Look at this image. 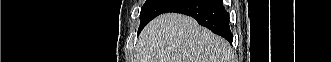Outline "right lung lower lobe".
Wrapping results in <instances>:
<instances>
[{
  "instance_id": "right-lung-lower-lobe-1",
  "label": "right lung lower lobe",
  "mask_w": 331,
  "mask_h": 62,
  "mask_svg": "<svg viewBox=\"0 0 331 62\" xmlns=\"http://www.w3.org/2000/svg\"><path fill=\"white\" fill-rule=\"evenodd\" d=\"M167 12L182 13L191 16L197 22L221 35L229 43L233 36L229 27V15L222 0H174L160 14Z\"/></svg>"
}]
</instances>
